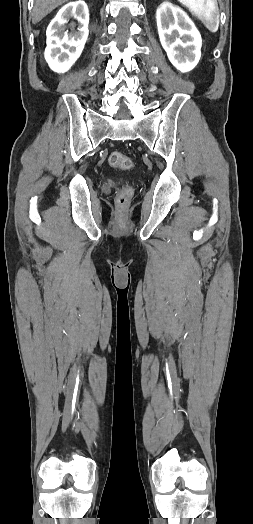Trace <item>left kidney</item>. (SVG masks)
Here are the masks:
<instances>
[{"instance_id":"5707ae66","label":"left kidney","mask_w":253,"mask_h":524,"mask_svg":"<svg viewBox=\"0 0 253 524\" xmlns=\"http://www.w3.org/2000/svg\"><path fill=\"white\" fill-rule=\"evenodd\" d=\"M162 47L176 69L191 71L201 57L202 39L194 23L179 7L163 2L156 11Z\"/></svg>"}]
</instances>
